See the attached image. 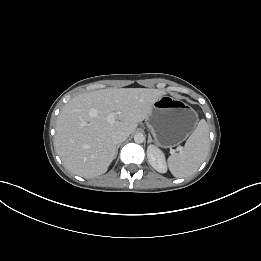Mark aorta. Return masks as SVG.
Here are the masks:
<instances>
[{
    "mask_svg": "<svg viewBox=\"0 0 261 261\" xmlns=\"http://www.w3.org/2000/svg\"><path fill=\"white\" fill-rule=\"evenodd\" d=\"M144 140H145V136H144L142 133H137V134H135V136H134V141H135L136 143H143Z\"/></svg>",
    "mask_w": 261,
    "mask_h": 261,
    "instance_id": "1",
    "label": "aorta"
}]
</instances>
